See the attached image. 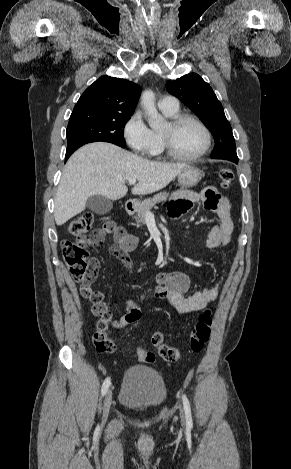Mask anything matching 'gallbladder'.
<instances>
[{
	"instance_id": "gallbladder-1",
	"label": "gallbladder",
	"mask_w": 291,
	"mask_h": 469,
	"mask_svg": "<svg viewBox=\"0 0 291 469\" xmlns=\"http://www.w3.org/2000/svg\"><path fill=\"white\" fill-rule=\"evenodd\" d=\"M86 207L96 214H105L113 208V203L105 196L93 195L88 198Z\"/></svg>"
}]
</instances>
